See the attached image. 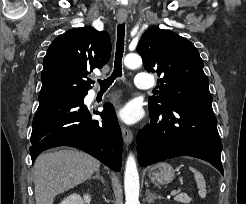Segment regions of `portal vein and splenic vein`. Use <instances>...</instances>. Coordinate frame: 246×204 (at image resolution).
I'll list each match as a JSON object with an SVG mask.
<instances>
[{"label":"portal vein and splenic vein","mask_w":246,"mask_h":204,"mask_svg":"<svg viewBox=\"0 0 246 204\" xmlns=\"http://www.w3.org/2000/svg\"><path fill=\"white\" fill-rule=\"evenodd\" d=\"M177 193H178V191L173 190V191L171 192V195H176Z\"/></svg>","instance_id":"1"}]
</instances>
